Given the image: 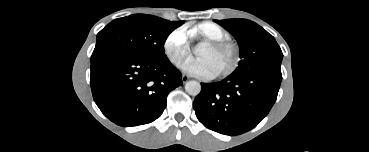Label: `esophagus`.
Here are the masks:
<instances>
[{
	"instance_id": "34e87169",
	"label": "esophagus",
	"mask_w": 369,
	"mask_h": 152,
	"mask_svg": "<svg viewBox=\"0 0 369 152\" xmlns=\"http://www.w3.org/2000/svg\"><path fill=\"white\" fill-rule=\"evenodd\" d=\"M189 80V77L187 75H182V82L186 83Z\"/></svg>"
}]
</instances>
